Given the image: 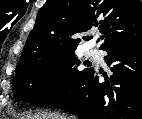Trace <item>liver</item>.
<instances>
[{"label":"liver","instance_id":"liver-1","mask_svg":"<svg viewBox=\"0 0 142 119\" xmlns=\"http://www.w3.org/2000/svg\"><path fill=\"white\" fill-rule=\"evenodd\" d=\"M24 119H67V118L60 114H36L34 116H27Z\"/></svg>","mask_w":142,"mask_h":119}]
</instances>
